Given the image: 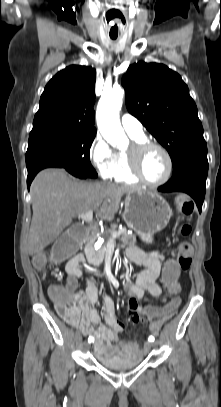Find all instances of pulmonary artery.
<instances>
[{"mask_svg": "<svg viewBox=\"0 0 221 407\" xmlns=\"http://www.w3.org/2000/svg\"><path fill=\"white\" fill-rule=\"evenodd\" d=\"M121 124L124 130L132 136L144 135L143 127L140 121L130 114H124L121 117Z\"/></svg>", "mask_w": 221, "mask_h": 407, "instance_id": "obj_1", "label": "pulmonary artery"}]
</instances>
